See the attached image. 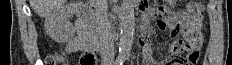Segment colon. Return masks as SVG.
I'll list each match as a JSON object with an SVG mask.
<instances>
[{"label": "colon", "instance_id": "colon-1", "mask_svg": "<svg viewBox=\"0 0 232 65\" xmlns=\"http://www.w3.org/2000/svg\"><path fill=\"white\" fill-rule=\"evenodd\" d=\"M173 0L155 1V9L160 15H167L173 8ZM204 19V3L192 1L186 10V31L184 39L176 40L171 45L172 56L169 61L179 65L194 64L201 51L203 39L202 25ZM61 62L59 55H50L46 59L47 65H56ZM81 65H94V57L86 52L81 57Z\"/></svg>", "mask_w": 232, "mask_h": 65}]
</instances>
